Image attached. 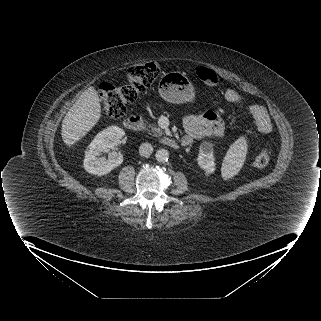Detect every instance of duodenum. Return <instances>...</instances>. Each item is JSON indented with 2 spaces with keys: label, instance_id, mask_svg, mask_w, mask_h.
<instances>
[{
  "label": "duodenum",
  "instance_id": "1",
  "mask_svg": "<svg viewBox=\"0 0 321 321\" xmlns=\"http://www.w3.org/2000/svg\"><path fill=\"white\" fill-rule=\"evenodd\" d=\"M124 126L131 131H141L144 128V122L139 115H130L128 116L124 122ZM161 143L169 148H177L179 146V142L171 137H163L161 139Z\"/></svg>",
  "mask_w": 321,
  "mask_h": 321
}]
</instances>
